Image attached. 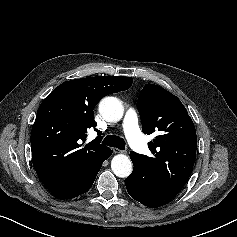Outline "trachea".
I'll return each mask as SVG.
<instances>
[{
  "instance_id": "1",
  "label": "trachea",
  "mask_w": 237,
  "mask_h": 237,
  "mask_svg": "<svg viewBox=\"0 0 237 237\" xmlns=\"http://www.w3.org/2000/svg\"><path fill=\"white\" fill-rule=\"evenodd\" d=\"M103 144L110 146V147H115L118 148L120 150H124L125 149V141L123 138H120L118 136L115 135H108L104 138L103 140Z\"/></svg>"
}]
</instances>
